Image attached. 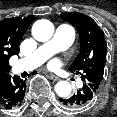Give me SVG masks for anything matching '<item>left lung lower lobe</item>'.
Returning a JSON list of instances; mask_svg holds the SVG:
<instances>
[{"label": "left lung lower lobe", "mask_w": 117, "mask_h": 117, "mask_svg": "<svg viewBox=\"0 0 117 117\" xmlns=\"http://www.w3.org/2000/svg\"><path fill=\"white\" fill-rule=\"evenodd\" d=\"M95 95L96 93L84 83L83 87L73 96L61 98L59 101L68 108H79L91 103Z\"/></svg>", "instance_id": "obj_1"}]
</instances>
